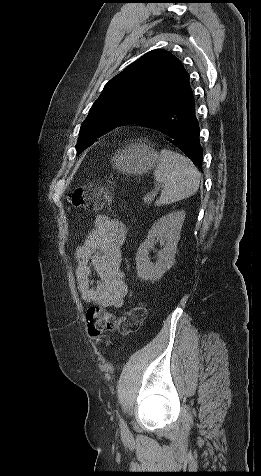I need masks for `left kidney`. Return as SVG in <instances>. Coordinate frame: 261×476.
<instances>
[{
    "instance_id": "left-kidney-1",
    "label": "left kidney",
    "mask_w": 261,
    "mask_h": 476,
    "mask_svg": "<svg viewBox=\"0 0 261 476\" xmlns=\"http://www.w3.org/2000/svg\"><path fill=\"white\" fill-rule=\"evenodd\" d=\"M184 219V211H175L154 223L136 254V269L139 278L154 282L172 267ZM158 241L163 248L158 251L157 260L152 262L149 251L154 249Z\"/></svg>"
}]
</instances>
